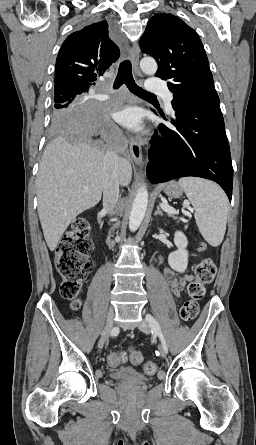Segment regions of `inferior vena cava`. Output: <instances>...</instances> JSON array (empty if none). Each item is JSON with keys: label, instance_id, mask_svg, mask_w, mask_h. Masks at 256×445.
<instances>
[{"label": "inferior vena cava", "instance_id": "602c4592", "mask_svg": "<svg viewBox=\"0 0 256 445\" xmlns=\"http://www.w3.org/2000/svg\"><path fill=\"white\" fill-rule=\"evenodd\" d=\"M119 198V158L109 151L103 158V207L113 213Z\"/></svg>", "mask_w": 256, "mask_h": 445}]
</instances>
